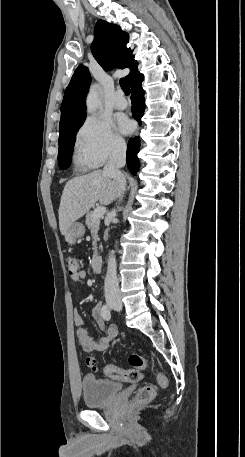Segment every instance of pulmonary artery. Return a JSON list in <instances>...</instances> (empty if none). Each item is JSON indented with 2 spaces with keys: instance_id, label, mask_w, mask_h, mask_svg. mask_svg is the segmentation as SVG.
I'll list each match as a JSON object with an SVG mask.
<instances>
[{
  "instance_id": "e3ab8cb5",
  "label": "pulmonary artery",
  "mask_w": 245,
  "mask_h": 457,
  "mask_svg": "<svg viewBox=\"0 0 245 457\" xmlns=\"http://www.w3.org/2000/svg\"><path fill=\"white\" fill-rule=\"evenodd\" d=\"M114 106L117 109H125L127 107V100L123 97L121 91H117L114 99Z\"/></svg>"
}]
</instances>
